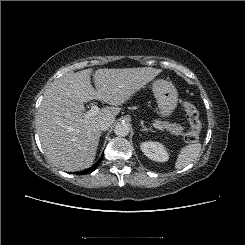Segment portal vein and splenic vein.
<instances>
[{
	"instance_id": "1",
	"label": "portal vein and splenic vein",
	"mask_w": 245,
	"mask_h": 245,
	"mask_svg": "<svg viewBox=\"0 0 245 245\" xmlns=\"http://www.w3.org/2000/svg\"><path fill=\"white\" fill-rule=\"evenodd\" d=\"M100 111L101 110H100V108L97 105H93L91 107V109L88 112L85 113V117L89 118V117L96 116V115H98L100 113ZM152 125L155 128L159 129V130H164V128L161 125L157 124V123H153Z\"/></svg>"
}]
</instances>
